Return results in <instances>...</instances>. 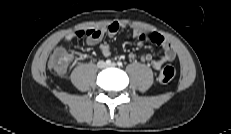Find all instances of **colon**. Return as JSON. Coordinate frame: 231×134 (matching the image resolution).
<instances>
[{"instance_id": "obj_1", "label": "colon", "mask_w": 231, "mask_h": 134, "mask_svg": "<svg viewBox=\"0 0 231 134\" xmlns=\"http://www.w3.org/2000/svg\"><path fill=\"white\" fill-rule=\"evenodd\" d=\"M71 60V55L64 48H57L49 59V67L58 74L66 72ZM176 71L172 66L164 67L159 75L158 79L161 83H169L175 77Z\"/></svg>"}]
</instances>
